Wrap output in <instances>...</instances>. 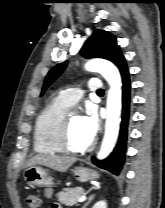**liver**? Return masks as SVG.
<instances>
[{
    "label": "liver",
    "mask_w": 165,
    "mask_h": 208,
    "mask_svg": "<svg viewBox=\"0 0 165 208\" xmlns=\"http://www.w3.org/2000/svg\"><path fill=\"white\" fill-rule=\"evenodd\" d=\"M75 161V157L40 154L32 157L27 166L44 165L53 170L65 172Z\"/></svg>",
    "instance_id": "obj_1"
}]
</instances>
